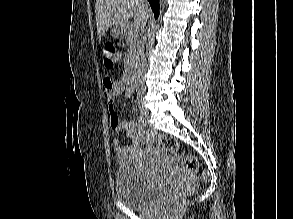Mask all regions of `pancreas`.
<instances>
[{
	"label": "pancreas",
	"mask_w": 293,
	"mask_h": 219,
	"mask_svg": "<svg viewBox=\"0 0 293 219\" xmlns=\"http://www.w3.org/2000/svg\"><path fill=\"white\" fill-rule=\"evenodd\" d=\"M140 34L137 30L132 29L128 33L126 44L128 46V54L126 56L125 69L133 67L137 62L140 51Z\"/></svg>",
	"instance_id": "obj_1"
}]
</instances>
